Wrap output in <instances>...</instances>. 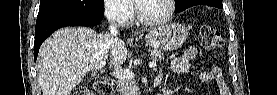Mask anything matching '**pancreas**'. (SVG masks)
Wrapping results in <instances>:
<instances>
[{
  "instance_id": "cf45deb5",
  "label": "pancreas",
  "mask_w": 277,
  "mask_h": 95,
  "mask_svg": "<svg viewBox=\"0 0 277 95\" xmlns=\"http://www.w3.org/2000/svg\"><path fill=\"white\" fill-rule=\"evenodd\" d=\"M150 57L152 61L161 62L164 59V54L161 50H152ZM117 92L120 95H135L138 92V87L132 79H118L116 81Z\"/></svg>"
}]
</instances>
